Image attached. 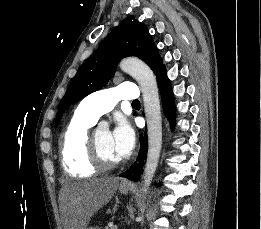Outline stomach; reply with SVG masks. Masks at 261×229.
I'll return each mask as SVG.
<instances>
[{
    "label": "stomach",
    "instance_id": "1",
    "mask_svg": "<svg viewBox=\"0 0 261 229\" xmlns=\"http://www.w3.org/2000/svg\"><path fill=\"white\" fill-rule=\"evenodd\" d=\"M128 189L129 187H119V191L122 193V195H127ZM90 229H95V227H90Z\"/></svg>",
    "mask_w": 261,
    "mask_h": 229
}]
</instances>
